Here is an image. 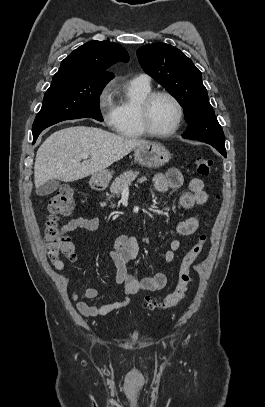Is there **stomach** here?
Wrapping results in <instances>:
<instances>
[{
    "label": "stomach",
    "instance_id": "1",
    "mask_svg": "<svg viewBox=\"0 0 265 407\" xmlns=\"http://www.w3.org/2000/svg\"><path fill=\"white\" fill-rule=\"evenodd\" d=\"M135 160L145 167L157 168L171 159L170 152L160 143L148 142L135 148ZM112 178L109 170H102L91 176L90 183L96 187H106Z\"/></svg>",
    "mask_w": 265,
    "mask_h": 407
}]
</instances>
